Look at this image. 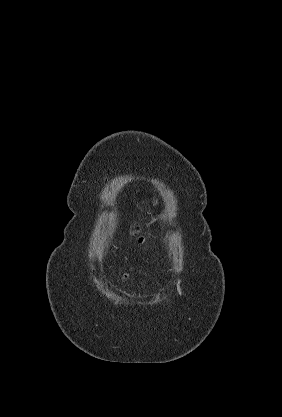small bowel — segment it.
Returning <instances> with one entry per match:
<instances>
[{"label": "small bowel", "mask_w": 282, "mask_h": 417, "mask_svg": "<svg viewBox=\"0 0 282 417\" xmlns=\"http://www.w3.org/2000/svg\"><path fill=\"white\" fill-rule=\"evenodd\" d=\"M127 278H128V274H126V275L124 276V278H123V282H125Z\"/></svg>", "instance_id": "obj_1"}]
</instances>
